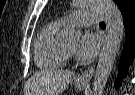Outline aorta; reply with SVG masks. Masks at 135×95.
<instances>
[{
    "label": "aorta",
    "instance_id": "obj_1",
    "mask_svg": "<svg viewBox=\"0 0 135 95\" xmlns=\"http://www.w3.org/2000/svg\"><path fill=\"white\" fill-rule=\"evenodd\" d=\"M76 5L96 7L105 16L107 36L99 56L93 82V95H103L123 39V17L113 0H79ZM65 36L68 40L75 41L79 40L80 33L74 29H70L65 33Z\"/></svg>",
    "mask_w": 135,
    "mask_h": 95
}]
</instances>
